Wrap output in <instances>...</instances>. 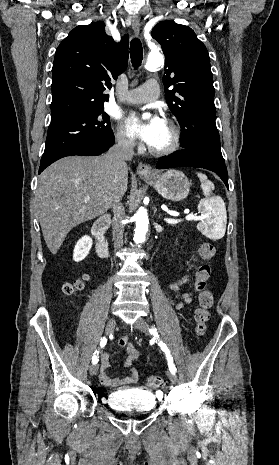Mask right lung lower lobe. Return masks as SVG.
<instances>
[{
    "instance_id": "98d812e1",
    "label": "right lung lower lobe",
    "mask_w": 279,
    "mask_h": 465,
    "mask_svg": "<svg viewBox=\"0 0 279 465\" xmlns=\"http://www.w3.org/2000/svg\"><path fill=\"white\" fill-rule=\"evenodd\" d=\"M115 142V139H111L109 142L104 143H81L70 147L61 153L55 155L53 158L49 159L48 161L42 163L39 167V174L50 164L55 162L56 160L72 155H85V156H96L100 155L103 152L107 151Z\"/></svg>"
}]
</instances>
